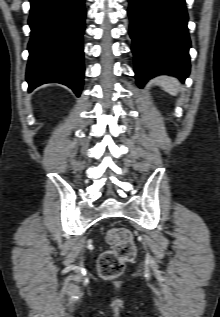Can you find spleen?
I'll list each match as a JSON object with an SVG mask.
<instances>
[{
    "mask_svg": "<svg viewBox=\"0 0 220 317\" xmlns=\"http://www.w3.org/2000/svg\"><path fill=\"white\" fill-rule=\"evenodd\" d=\"M154 82L170 94L176 95L179 91V82L174 77L161 76L155 78Z\"/></svg>",
    "mask_w": 220,
    "mask_h": 317,
    "instance_id": "1",
    "label": "spleen"
}]
</instances>
